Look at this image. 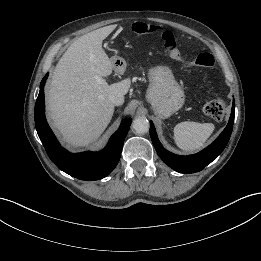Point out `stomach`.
<instances>
[{"label":"stomach","instance_id":"stomach-1","mask_svg":"<svg viewBox=\"0 0 261 261\" xmlns=\"http://www.w3.org/2000/svg\"><path fill=\"white\" fill-rule=\"evenodd\" d=\"M114 62L116 71L126 66L122 58H116ZM148 80L146 97L157 117L168 118L183 106V89L175 80L169 66L157 65L149 68Z\"/></svg>","mask_w":261,"mask_h":261}]
</instances>
